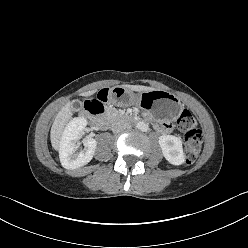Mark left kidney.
Listing matches in <instances>:
<instances>
[{
    "instance_id": "left-kidney-1",
    "label": "left kidney",
    "mask_w": 248,
    "mask_h": 248,
    "mask_svg": "<svg viewBox=\"0 0 248 248\" xmlns=\"http://www.w3.org/2000/svg\"><path fill=\"white\" fill-rule=\"evenodd\" d=\"M159 145L163 156L169 163L181 165L185 162L182 141L180 138L173 135H162L159 137Z\"/></svg>"
}]
</instances>
